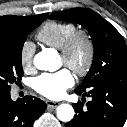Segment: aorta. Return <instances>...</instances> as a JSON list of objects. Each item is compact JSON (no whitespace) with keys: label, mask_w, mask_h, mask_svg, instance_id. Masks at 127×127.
Returning <instances> with one entry per match:
<instances>
[{"label":"aorta","mask_w":127,"mask_h":127,"mask_svg":"<svg viewBox=\"0 0 127 127\" xmlns=\"http://www.w3.org/2000/svg\"><path fill=\"white\" fill-rule=\"evenodd\" d=\"M34 65L39 70L54 71L57 69V59L54 52L45 49L34 57ZM57 117L60 121L69 122L74 117V109L70 104H61L57 107Z\"/></svg>","instance_id":"obj_1"}]
</instances>
